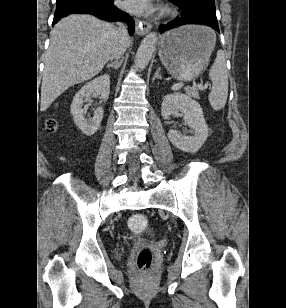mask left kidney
I'll use <instances>...</instances> for the list:
<instances>
[{"label":"left kidney","mask_w":286,"mask_h":308,"mask_svg":"<svg viewBox=\"0 0 286 308\" xmlns=\"http://www.w3.org/2000/svg\"><path fill=\"white\" fill-rule=\"evenodd\" d=\"M181 111L185 123L193 129L191 136H184L178 130L171 129L168 138L178 149L195 153L208 137V126L204 119L203 110L198 102L183 93L168 94L164 97L161 114L168 119L171 114Z\"/></svg>","instance_id":"5707ae66"}]
</instances>
